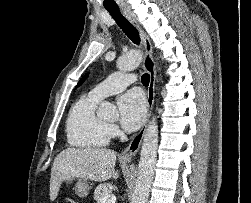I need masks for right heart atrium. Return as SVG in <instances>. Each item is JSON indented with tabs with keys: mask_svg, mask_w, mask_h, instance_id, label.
I'll return each instance as SVG.
<instances>
[{
	"mask_svg": "<svg viewBox=\"0 0 251 203\" xmlns=\"http://www.w3.org/2000/svg\"><path fill=\"white\" fill-rule=\"evenodd\" d=\"M108 131H109L110 135H115L117 133V128L115 125L110 124V125H108Z\"/></svg>",
	"mask_w": 251,
	"mask_h": 203,
	"instance_id": "d8ad5b80",
	"label": "right heart atrium"
}]
</instances>
